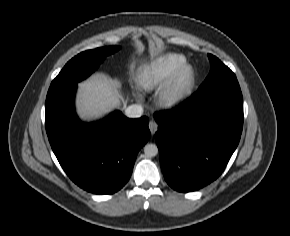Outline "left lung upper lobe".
Here are the masks:
<instances>
[{
    "label": "left lung upper lobe",
    "mask_w": 290,
    "mask_h": 236,
    "mask_svg": "<svg viewBox=\"0 0 290 236\" xmlns=\"http://www.w3.org/2000/svg\"><path fill=\"white\" fill-rule=\"evenodd\" d=\"M208 58L211 64V70L209 75L199 87L198 90H203L206 88H210L212 86H216L219 84H223L226 82H230L233 80H237L235 74L225 66L217 57L208 54Z\"/></svg>",
    "instance_id": "1"
}]
</instances>
